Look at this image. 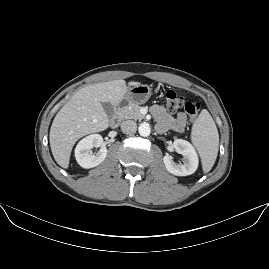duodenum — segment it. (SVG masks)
<instances>
[{
	"label": "duodenum",
	"mask_w": 269,
	"mask_h": 269,
	"mask_svg": "<svg viewBox=\"0 0 269 269\" xmlns=\"http://www.w3.org/2000/svg\"><path fill=\"white\" fill-rule=\"evenodd\" d=\"M121 121V112L120 107H117L114 116L110 120V124L112 127H116Z\"/></svg>",
	"instance_id": "1"
}]
</instances>
